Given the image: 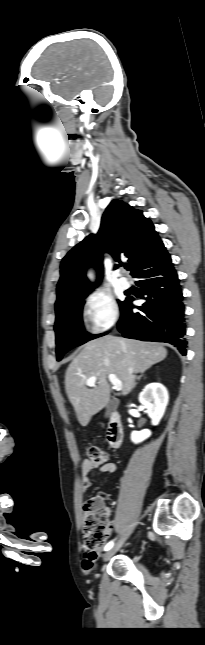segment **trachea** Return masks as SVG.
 Instances as JSON below:
<instances>
[{
  "mask_svg": "<svg viewBox=\"0 0 205 645\" xmlns=\"http://www.w3.org/2000/svg\"><path fill=\"white\" fill-rule=\"evenodd\" d=\"M124 267H125V269H126V270H129V269H130V265H129V264H125V266H124Z\"/></svg>",
  "mask_w": 205,
  "mask_h": 645,
  "instance_id": "3493384b",
  "label": "trachea"
}]
</instances>
